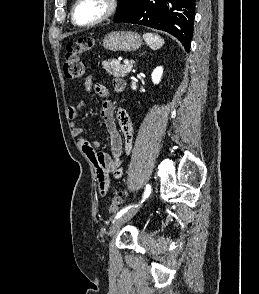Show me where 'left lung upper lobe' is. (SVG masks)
Wrapping results in <instances>:
<instances>
[{"instance_id":"obj_1","label":"left lung upper lobe","mask_w":259,"mask_h":294,"mask_svg":"<svg viewBox=\"0 0 259 294\" xmlns=\"http://www.w3.org/2000/svg\"><path fill=\"white\" fill-rule=\"evenodd\" d=\"M135 0H119V10L116 16H119L134 7Z\"/></svg>"}]
</instances>
